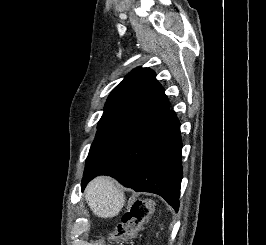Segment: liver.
Here are the masks:
<instances>
[{
	"instance_id": "1",
	"label": "liver",
	"mask_w": 266,
	"mask_h": 245,
	"mask_svg": "<svg viewBox=\"0 0 266 245\" xmlns=\"http://www.w3.org/2000/svg\"><path fill=\"white\" fill-rule=\"evenodd\" d=\"M85 199L92 213L102 219L117 217L125 205L120 187L110 177H96L85 189Z\"/></svg>"
}]
</instances>
